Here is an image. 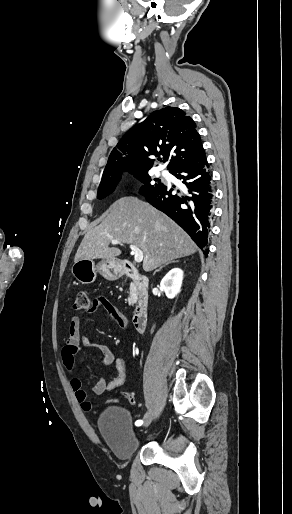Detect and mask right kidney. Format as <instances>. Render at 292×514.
I'll list each match as a JSON object with an SVG mask.
<instances>
[{"mask_svg":"<svg viewBox=\"0 0 292 514\" xmlns=\"http://www.w3.org/2000/svg\"><path fill=\"white\" fill-rule=\"evenodd\" d=\"M183 272L180 268L170 270L163 280L160 282L162 290H164L167 298H175L180 292L182 286Z\"/></svg>","mask_w":292,"mask_h":514,"instance_id":"ca27d5eb","label":"right kidney"}]
</instances>
